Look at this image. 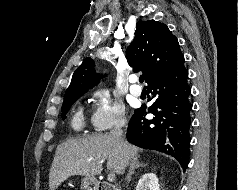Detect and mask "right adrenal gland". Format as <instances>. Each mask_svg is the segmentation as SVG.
Here are the masks:
<instances>
[{
	"instance_id": "1",
	"label": "right adrenal gland",
	"mask_w": 238,
	"mask_h": 190,
	"mask_svg": "<svg viewBox=\"0 0 238 190\" xmlns=\"http://www.w3.org/2000/svg\"><path fill=\"white\" fill-rule=\"evenodd\" d=\"M145 166H147V164L140 163L139 156L133 158V160L131 161V164H130L129 173L127 175V183L128 184L130 183L131 175L135 173V169H138L140 167H145Z\"/></svg>"
}]
</instances>
